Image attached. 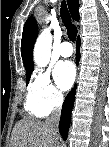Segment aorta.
Here are the masks:
<instances>
[{
    "instance_id": "1",
    "label": "aorta",
    "mask_w": 109,
    "mask_h": 147,
    "mask_svg": "<svg viewBox=\"0 0 109 147\" xmlns=\"http://www.w3.org/2000/svg\"><path fill=\"white\" fill-rule=\"evenodd\" d=\"M52 35L49 29H45L38 36L33 52V59L37 66L45 67L51 57Z\"/></svg>"
}]
</instances>
